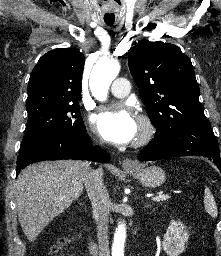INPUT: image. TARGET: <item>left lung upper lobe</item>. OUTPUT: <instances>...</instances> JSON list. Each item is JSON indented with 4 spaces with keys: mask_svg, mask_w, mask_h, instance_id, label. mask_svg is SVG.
<instances>
[{
    "mask_svg": "<svg viewBox=\"0 0 221 256\" xmlns=\"http://www.w3.org/2000/svg\"><path fill=\"white\" fill-rule=\"evenodd\" d=\"M128 65L156 133L208 122L192 63L178 46L139 42L129 52Z\"/></svg>",
    "mask_w": 221,
    "mask_h": 256,
    "instance_id": "1",
    "label": "left lung upper lobe"
}]
</instances>
